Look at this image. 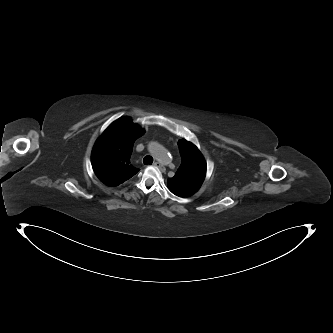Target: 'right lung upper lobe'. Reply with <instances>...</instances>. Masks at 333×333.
<instances>
[{"label":"right lung upper lobe","mask_w":333,"mask_h":333,"mask_svg":"<svg viewBox=\"0 0 333 333\" xmlns=\"http://www.w3.org/2000/svg\"><path fill=\"white\" fill-rule=\"evenodd\" d=\"M144 133V129L131 119L122 117L114 121L97 139L91 162L102 183L118 186L139 171L130 164V156L135 140Z\"/></svg>","instance_id":"right-lung-upper-lobe-1"}]
</instances>
